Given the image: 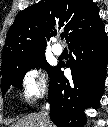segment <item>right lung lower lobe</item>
<instances>
[{
    "mask_svg": "<svg viewBox=\"0 0 108 127\" xmlns=\"http://www.w3.org/2000/svg\"><path fill=\"white\" fill-rule=\"evenodd\" d=\"M68 47L74 54L66 64L72 80L63 76L64 66H55L49 76L50 118L58 127H82L86 123L84 110L97 108L104 91L108 38L102 20L76 34Z\"/></svg>",
    "mask_w": 108,
    "mask_h": 127,
    "instance_id": "right-lung-lower-lobe-1",
    "label": "right lung lower lobe"
}]
</instances>
